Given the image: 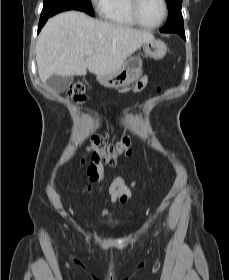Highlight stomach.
<instances>
[{
  "label": "stomach",
  "mask_w": 229,
  "mask_h": 280,
  "mask_svg": "<svg viewBox=\"0 0 229 280\" xmlns=\"http://www.w3.org/2000/svg\"><path fill=\"white\" fill-rule=\"evenodd\" d=\"M143 51L146 56L153 59H162L166 52L167 46L160 40H152L143 44ZM141 57H130L122 67L107 75H98V82L107 88H122L139 80L142 75Z\"/></svg>",
  "instance_id": "stomach-1"
}]
</instances>
